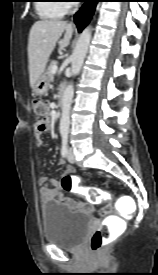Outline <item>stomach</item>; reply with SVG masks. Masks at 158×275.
<instances>
[{"label":"stomach","instance_id":"1","mask_svg":"<svg viewBox=\"0 0 158 275\" xmlns=\"http://www.w3.org/2000/svg\"><path fill=\"white\" fill-rule=\"evenodd\" d=\"M49 79L47 77L46 73H43L34 83L33 85V92L37 96H42L44 95L47 90H48V85H49Z\"/></svg>","mask_w":158,"mask_h":275}]
</instances>
